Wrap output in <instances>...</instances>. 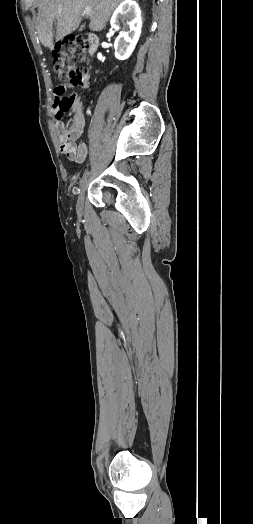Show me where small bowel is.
Segmentation results:
<instances>
[{"mask_svg":"<svg viewBox=\"0 0 253 524\" xmlns=\"http://www.w3.org/2000/svg\"><path fill=\"white\" fill-rule=\"evenodd\" d=\"M61 89H64L63 85H58L55 88L53 102H56L62 96ZM85 110L86 99L74 96L72 126L67 128L62 123H57L55 126L60 152L75 164L83 163L88 151L85 143H76V140L83 135L85 130Z\"/></svg>","mask_w":253,"mask_h":524,"instance_id":"c3829d8e","label":"small bowel"}]
</instances>
